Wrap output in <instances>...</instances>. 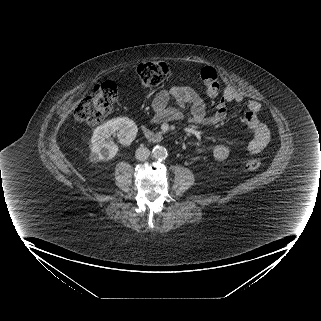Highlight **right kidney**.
Listing matches in <instances>:
<instances>
[{
	"mask_svg": "<svg viewBox=\"0 0 321 321\" xmlns=\"http://www.w3.org/2000/svg\"><path fill=\"white\" fill-rule=\"evenodd\" d=\"M137 132L136 124L128 117L113 118L94 130L90 144L91 153L96 160L112 159L118 151V146L108 138L117 134L119 142L128 146L135 139Z\"/></svg>",
	"mask_w": 321,
	"mask_h": 321,
	"instance_id": "obj_1",
	"label": "right kidney"
}]
</instances>
